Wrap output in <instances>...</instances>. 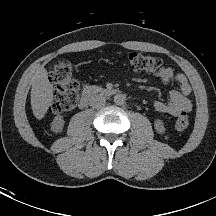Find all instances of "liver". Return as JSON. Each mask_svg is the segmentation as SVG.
<instances>
[{"mask_svg":"<svg viewBox=\"0 0 216 216\" xmlns=\"http://www.w3.org/2000/svg\"><path fill=\"white\" fill-rule=\"evenodd\" d=\"M53 85L48 80L44 67L39 68L32 77L31 108L34 116L41 120L53 101Z\"/></svg>","mask_w":216,"mask_h":216,"instance_id":"liver-1","label":"liver"}]
</instances>
